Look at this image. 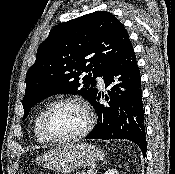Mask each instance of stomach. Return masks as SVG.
Returning <instances> with one entry per match:
<instances>
[{"instance_id":"stomach-1","label":"stomach","mask_w":175,"mask_h":174,"mask_svg":"<svg viewBox=\"0 0 175 174\" xmlns=\"http://www.w3.org/2000/svg\"><path fill=\"white\" fill-rule=\"evenodd\" d=\"M102 157V151L94 145L77 143L51 149L37 158V161L53 171L69 173L90 166Z\"/></svg>"}]
</instances>
